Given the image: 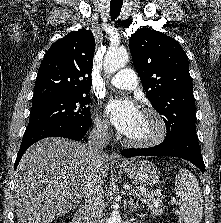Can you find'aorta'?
I'll use <instances>...</instances> for the list:
<instances>
[{
  "label": "aorta",
  "mask_w": 221,
  "mask_h": 223,
  "mask_svg": "<svg viewBox=\"0 0 221 223\" xmlns=\"http://www.w3.org/2000/svg\"><path fill=\"white\" fill-rule=\"evenodd\" d=\"M129 61V55L126 50H109L104 58V70L112 74L126 66ZM108 223H121V216L118 210H113L108 219Z\"/></svg>",
  "instance_id": "1"
}]
</instances>
